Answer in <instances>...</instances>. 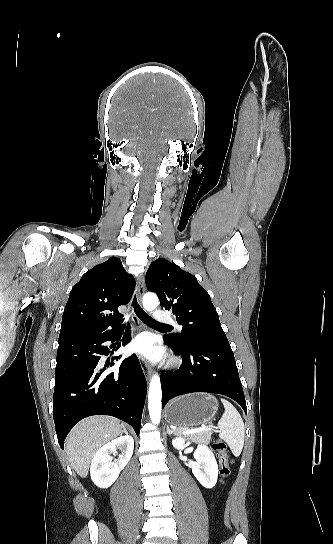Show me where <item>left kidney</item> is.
<instances>
[{"instance_id":"5707ae66","label":"left kidney","mask_w":333,"mask_h":544,"mask_svg":"<svg viewBox=\"0 0 333 544\" xmlns=\"http://www.w3.org/2000/svg\"><path fill=\"white\" fill-rule=\"evenodd\" d=\"M172 445L175 449H183L185 439L178 437L172 440ZM196 464L192 468V472L197 480L205 488H213L218 478V465L212 451L206 444H199L194 452Z\"/></svg>"}]
</instances>
